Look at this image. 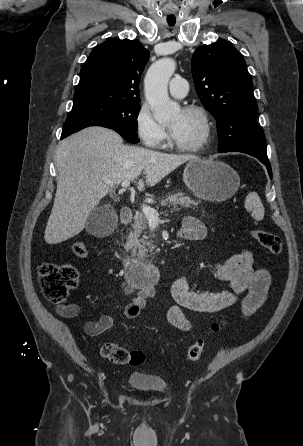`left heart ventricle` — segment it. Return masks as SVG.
Listing matches in <instances>:
<instances>
[{"mask_svg":"<svg viewBox=\"0 0 303 446\" xmlns=\"http://www.w3.org/2000/svg\"><path fill=\"white\" fill-rule=\"evenodd\" d=\"M168 125L169 127L177 126L173 138L176 142L184 145L197 142L203 133L201 118L197 114L184 113L182 110H179L170 118Z\"/></svg>","mask_w":303,"mask_h":446,"instance_id":"obj_1","label":"left heart ventricle"}]
</instances>
